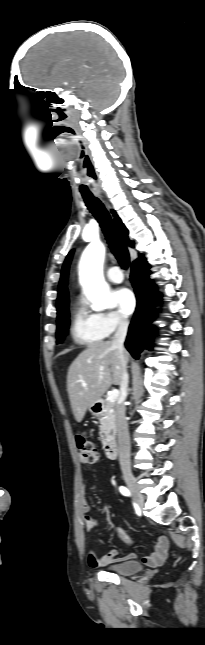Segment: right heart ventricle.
<instances>
[{"label":"right heart ventricle","mask_w":205,"mask_h":645,"mask_svg":"<svg viewBox=\"0 0 205 645\" xmlns=\"http://www.w3.org/2000/svg\"><path fill=\"white\" fill-rule=\"evenodd\" d=\"M71 333L75 342L87 345L99 343L106 337L99 324L98 314L91 312L82 302L74 309Z\"/></svg>","instance_id":"obj_1"}]
</instances>
